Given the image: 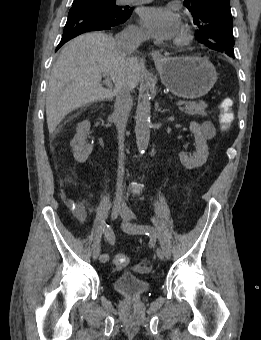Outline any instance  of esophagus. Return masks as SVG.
I'll list each match as a JSON object with an SVG mask.
<instances>
[{"instance_id": "1", "label": "esophagus", "mask_w": 261, "mask_h": 340, "mask_svg": "<svg viewBox=\"0 0 261 340\" xmlns=\"http://www.w3.org/2000/svg\"><path fill=\"white\" fill-rule=\"evenodd\" d=\"M151 55L153 57V60L155 62H162L164 61V56L160 53L158 50H154L151 52Z\"/></svg>"}]
</instances>
